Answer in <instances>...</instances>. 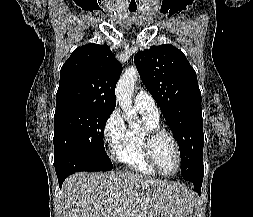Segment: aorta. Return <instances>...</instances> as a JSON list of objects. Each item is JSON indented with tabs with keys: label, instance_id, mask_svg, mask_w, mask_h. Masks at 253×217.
<instances>
[{
	"label": "aorta",
	"instance_id": "1",
	"mask_svg": "<svg viewBox=\"0 0 253 217\" xmlns=\"http://www.w3.org/2000/svg\"><path fill=\"white\" fill-rule=\"evenodd\" d=\"M138 79V72L135 67H129L123 73L116 86V99L128 121L136 117V112L132 109V97L134 86Z\"/></svg>",
	"mask_w": 253,
	"mask_h": 217
}]
</instances>
